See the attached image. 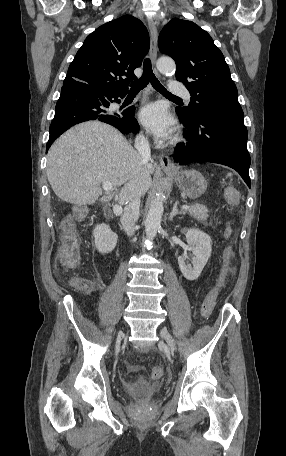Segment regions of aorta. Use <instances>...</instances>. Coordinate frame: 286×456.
<instances>
[{
    "mask_svg": "<svg viewBox=\"0 0 286 456\" xmlns=\"http://www.w3.org/2000/svg\"><path fill=\"white\" fill-rule=\"evenodd\" d=\"M157 68L162 74L172 76L175 73L176 65L173 59L162 57L157 61ZM164 198L163 191L159 189L148 211L145 220V232L149 239H153L156 236L158 229L161 227Z\"/></svg>",
    "mask_w": 286,
    "mask_h": 456,
    "instance_id": "obj_1",
    "label": "aorta"
}]
</instances>
